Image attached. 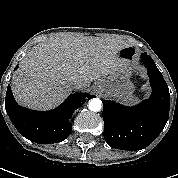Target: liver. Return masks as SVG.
Segmentation results:
<instances>
[{"label":"liver","mask_w":178,"mask_h":178,"mask_svg":"<svg viewBox=\"0 0 178 178\" xmlns=\"http://www.w3.org/2000/svg\"><path fill=\"white\" fill-rule=\"evenodd\" d=\"M128 45L122 41L97 37H55L34 46L20 62L12 77V92L21 105L48 109L64 100L74 89L118 69L116 58ZM124 64L123 72L127 70Z\"/></svg>","instance_id":"1"}]
</instances>
